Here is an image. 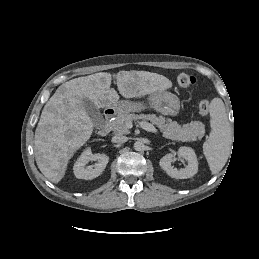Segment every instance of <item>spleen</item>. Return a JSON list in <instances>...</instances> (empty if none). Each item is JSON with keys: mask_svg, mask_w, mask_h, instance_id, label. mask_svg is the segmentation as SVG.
<instances>
[{"mask_svg": "<svg viewBox=\"0 0 259 259\" xmlns=\"http://www.w3.org/2000/svg\"><path fill=\"white\" fill-rule=\"evenodd\" d=\"M209 138L203 144V153L212 174L222 170L231 151L232 129L230 127L225 106L220 98H214L210 104Z\"/></svg>", "mask_w": 259, "mask_h": 259, "instance_id": "obj_1", "label": "spleen"}]
</instances>
